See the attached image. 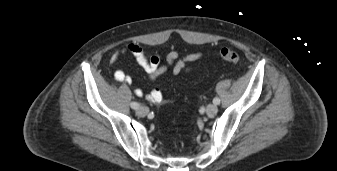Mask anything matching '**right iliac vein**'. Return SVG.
<instances>
[{
  "label": "right iliac vein",
  "mask_w": 337,
  "mask_h": 171,
  "mask_svg": "<svg viewBox=\"0 0 337 171\" xmlns=\"http://www.w3.org/2000/svg\"><path fill=\"white\" fill-rule=\"evenodd\" d=\"M148 112H149V109L146 106H142V107L137 109L136 114L139 117H144L148 114Z\"/></svg>",
  "instance_id": "right-iliac-vein-1"
}]
</instances>
